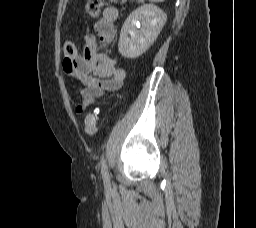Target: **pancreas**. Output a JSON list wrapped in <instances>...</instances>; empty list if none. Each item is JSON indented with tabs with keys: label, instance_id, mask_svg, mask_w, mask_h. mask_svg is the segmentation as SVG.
<instances>
[{
	"label": "pancreas",
	"instance_id": "cf45deb5",
	"mask_svg": "<svg viewBox=\"0 0 256 228\" xmlns=\"http://www.w3.org/2000/svg\"><path fill=\"white\" fill-rule=\"evenodd\" d=\"M131 1H135V0H131ZM138 3H143L144 0H136Z\"/></svg>",
	"mask_w": 256,
	"mask_h": 228
}]
</instances>
